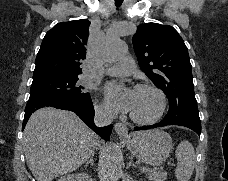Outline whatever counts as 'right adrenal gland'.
Returning <instances> with one entry per match:
<instances>
[{
	"label": "right adrenal gland",
	"mask_w": 228,
	"mask_h": 181,
	"mask_svg": "<svg viewBox=\"0 0 228 181\" xmlns=\"http://www.w3.org/2000/svg\"><path fill=\"white\" fill-rule=\"evenodd\" d=\"M88 165H91V167H94V155H92L91 159H88L87 163H85L84 169H87Z\"/></svg>",
	"instance_id": "right-adrenal-gland-1"
}]
</instances>
